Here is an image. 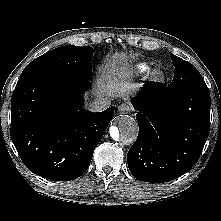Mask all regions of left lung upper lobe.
I'll list each match as a JSON object with an SVG mask.
<instances>
[{"mask_svg":"<svg viewBox=\"0 0 221 221\" xmlns=\"http://www.w3.org/2000/svg\"><path fill=\"white\" fill-rule=\"evenodd\" d=\"M175 73L173 81L168 85L172 90L206 85L197 69L189 62L170 54Z\"/></svg>","mask_w":221,"mask_h":221,"instance_id":"5c2ea615","label":"left lung upper lobe"}]
</instances>
